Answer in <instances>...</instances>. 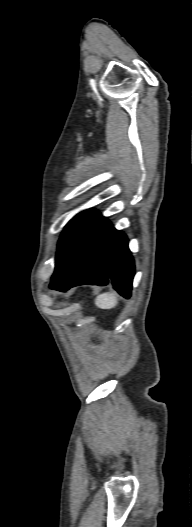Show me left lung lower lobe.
<instances>
[{
  "label": "left lung lower lobe",
  "instance_id": "left-lung-lower-lobe-1",
  "mask_svg": "<svg viewBox=\"0 0 192 527\" xmlns=\"http://www.w3.org/2000/svg\"><path fill=\"white\" fill-rule=\"evenodd\" d=\"M134 262L127 237L98 212H94L76 232L56 260L50 288L66 291L110 281L119 294H131Z\"/></svg>",
  "mask_w": 192,
  "mask_h": 527
}]
</instances>
